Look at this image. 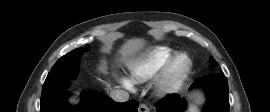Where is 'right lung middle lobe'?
I'll return each mask as SVG.
<instances>
[{
	"label": "right lung middle lobe",
	"instance_id": "obj_1",
	"mask_svg": "<svg viewBox=\"0 0 270 112\" xmlns=\"http://www.w3.org/2000/svg\"><path fill=\"white\" fill-rule=\"evenodd\" d=\"M87 48H78L62 56L52 67L45 82L60 85L67 80L75 79L78 73L79 59Z\"/></svg>",
	"mask_w": 270,
	"mask_h": 112
}]
</instances>
